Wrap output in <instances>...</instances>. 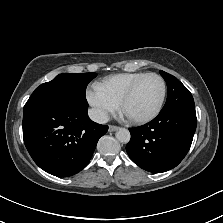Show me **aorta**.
<instances>
[{"label":"aorta","mask_w":223,"mask_h":223,"mask_svg":"<svg viewBox=\"0 0 223 223\" xmlns=\"http://www.w3.org/2000/svg\"><path fill=\"white\" fill-rule=\"evenodd\" d=\"M117 140L122 143H127L130 140V132L128 129L119 127L115 133Z\"/></svg>","instance_id":"1"}]
</instances>
